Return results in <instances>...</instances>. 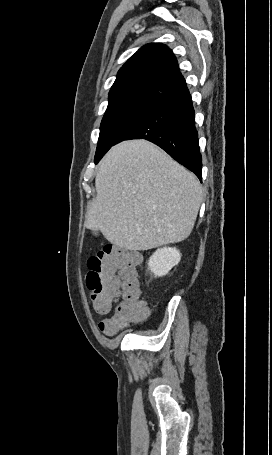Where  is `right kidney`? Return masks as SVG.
Listing matches in <instances>:
<instances>
[{
    "label": "right kidney",
    "mask_w": 272,
    "mask_h": 455,
    "mask_svg": "<svg viewBox=\"0 0 272 455\" xmlns=\"http://www.w3.org/2000/svg\"><path fill=\"white\" fill-rule=\"evenodd\" d=\"M181 254L175 247H164L156 250L150 257L148 268L154 273L155 277L166 274L180 262Z\"/></svg>",
    "instance_id": "1"
}]
</instances>
